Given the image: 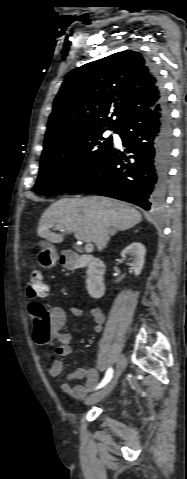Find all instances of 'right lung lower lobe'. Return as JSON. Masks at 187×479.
<instances>
[{
	"mask_svg": "<svg viewBox=\"0 0 187 479\" xmlns=\"http://www.w3.org/2000/svg\"><path fill=\"white\" fill-rule=\"evenodd\" d=\"M158 80L160 101L137 110L117 129L126 157L112 147L103 159L68 192L97 193L127 201L145 210L164 203L172 146V123L168 101Z\"/></svg>",
	"mask_w": 187,
	"mask_h": 479,
	"instance_id": "obj_1",
	"label": "right lung lower lobe"
}]
</instances>
